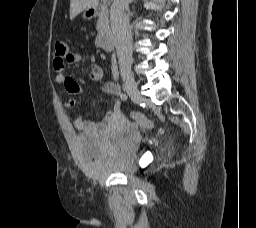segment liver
I'll return each instance as SVG.
<instances>
[{"instance_id":"6515ba94","label":"liver","mask_w":256,"mask_h":228,"mask_svg":"<svg viewBox=\"0 0 256 228\" xmlns=\"http://www.w3.org/2000/svg\"><path fill=\"white\" fill-rule=\"evenodd\" d=\"M99 0H70V19H74L80 12L97 7Z\"/></svg>"}]
</instances>
